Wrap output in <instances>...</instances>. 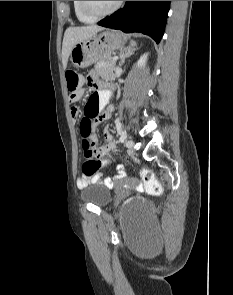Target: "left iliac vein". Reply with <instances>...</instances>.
Segmentation results:
<instances>
[{"label": "left iliac vein", "mask_w": 233, "mask_h": 295, "mask_svg": "<svg viewBox=\"0 0 233 295\" xmlns=\"http://www.w3.org/2000/svg\"><path fill=\"white\" fill-rule=\"evenodd\" d=\"M131 145H126L128 148V154L129 155H134L135 154V149H134V142L131 140Z\"/></svg>", "instance_id": "4c4485c4"}]
</instances>
